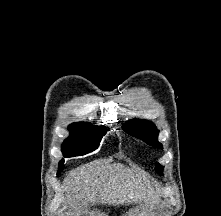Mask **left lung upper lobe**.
<instances>
[{"label":"left lung upper lobe","instance_id":"5c2ea615","mask_svg":"<svg viewBox=\"0 0 221 216\" xmlns=\"http://www.w3.org/2000/svg\"><path fill=\"white\" fill-rule=\"evenodd\" d=\"M123 130L130 135L139 137L148 145L162 148L161 143L158 142V130L153 123L146 120L132 119L123 124ZM155 170L158 174L163 175V167L157 164Z\"/></svg>","mask_w":221,"mask_h":216}]
</instances>
